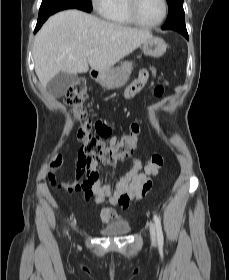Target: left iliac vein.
Here are the masks:
<instances>
[{
  "label": "left iliac vein",
  "mask_w": 229,
  "mask_h": 280,
  "mask_svg": "<svg viewBox=\"0 0 229 280\" xmlns=\"http://www.w3.org/2000/svg\"><path fill=\"white\" fill-rule=\"evenodd\" d=\"M150 236L153 243H156V227L154 223H150Z\"/></svg>",
  "instance_id": "1"
}]
</instances>
